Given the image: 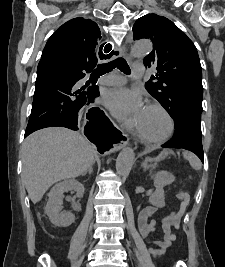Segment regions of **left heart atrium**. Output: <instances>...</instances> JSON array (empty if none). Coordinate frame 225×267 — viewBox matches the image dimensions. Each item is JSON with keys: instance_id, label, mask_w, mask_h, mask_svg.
<instances>
[{"instance_id": "left-heart-atrium-1", "label": "left heart atrium", "mask_w": 225, "mask_h": 267, "mask_svg": "<svg viewBox=\"0 0 225 267\" xmlns=\"http://www.w3.org/2000/svg\"><path fill=\"white\" fill-rule=\"evenodd\" d=\"M105 104L120 119L135 126L145 109L141 95L127 88L109 91L105 96Z\"/></svg>"}]
</instances>
